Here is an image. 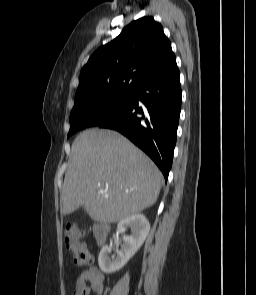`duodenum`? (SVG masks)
I'll list each match as a JSON object with an SVG mask.
<instances>
[{"mask_svg":"<svg viewBox=\"0 0 256 295\" xmlns=\"http://www.w3.org/2000/svg\"><path fill=\"white\" fill-rule=\"evenodd\" d=\"M110 227L108 224L98 222L93 226V236L97 244L102 245L108 238Z\"/></svg>","mask_w":256,"mask_h":295,"instance_id":"duodenum-1","label":"duodenum"}]
</instances>
